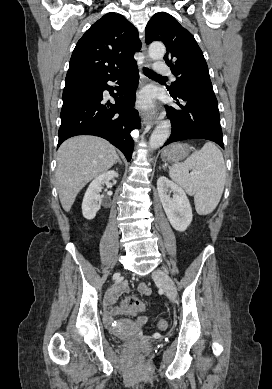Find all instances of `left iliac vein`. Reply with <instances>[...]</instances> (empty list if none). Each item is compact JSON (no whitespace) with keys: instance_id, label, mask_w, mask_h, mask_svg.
I'll use <instances>...</instances> for the list:
<instances>
[{"instance_id":"left-iliac-vein-1","label":"left iliac vein","mask_w":272,"mask_h":389,"mask_svg":"<svg viewBox=\"0 0 272 389\" xmlns=\"http://www.w3.org/2000/svg\"><path fill=\"white\" fill-rule=\"evenodd\" d=\"M152 277L156 282L160 283L168 298L175 301L177 296L176 287L169 275L160 269H156L152 273Z\"/></svg>"}]
</instances>
